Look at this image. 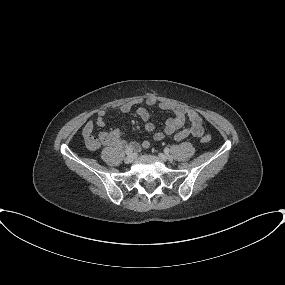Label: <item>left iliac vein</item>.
<instances>
[{"mask_svg": "<svg viewBox=\"0 0 285 285\" xmlns=\"http://www.w3.org/2000/svg\"><path fill=\"white\" fill-rule=\"evenodd\" d=\"M159 158L162 160V161H170L172 159V157L168 154H164V153H159Z\"/></svg>", "mask_w": 285, "mask_h": 285, "instance_id": "1", "label": "left iliac vein"}]
</instances>
